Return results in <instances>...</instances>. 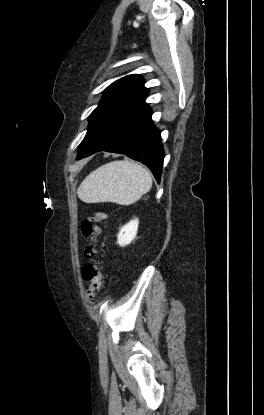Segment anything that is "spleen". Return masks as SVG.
I'll return each mask as SVG.
<instances>
[{"label":"spleen","mask_w":264,"mask_h":415,"mask_svg":"<svg viewBox=\"0 0 264 415\" xmlns=\"http://www.w3.org/2000/svg\"><path fill=\"white\" fill-rule=\"evenodd\" d=\"M150 172L142 165L112 161L92 171L80 184L77 194L85 203L113 202L130 205L149 192Z\"/></svg>","instance_id":"1"}]
</instances>
